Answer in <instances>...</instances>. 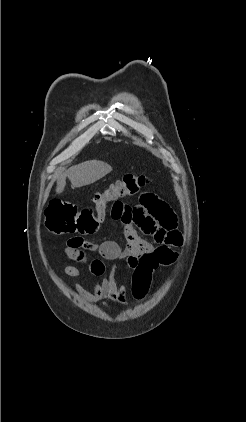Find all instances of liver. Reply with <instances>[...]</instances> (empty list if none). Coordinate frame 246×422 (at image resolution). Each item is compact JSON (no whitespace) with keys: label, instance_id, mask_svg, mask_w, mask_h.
Listing matches in <instances>:
<instances>
[{"label":"liver","instance_id":"1","mask_svg":"<svg viewBox=\"0 0 246 422\" xmlns=\"http://www.w3.org/2000/svg\"><path fill=\"white\" fill-rule=\"evenodd\" d=\"M112 171V167L102 161L92 160L69 168L57 180L56 192L62 193L66 178L68 177L73 187L79 188L96 182Z\"/></svg>","mask_w":246,"mask_h":422}]
</instances>
